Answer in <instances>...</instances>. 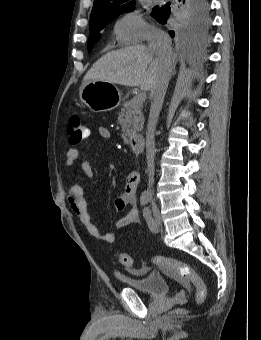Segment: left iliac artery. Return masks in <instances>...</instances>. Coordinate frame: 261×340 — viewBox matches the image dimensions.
Wrapping results in <instances>:
<instances>
[{"instance_id":"left-iliac-artery-1","label":"left iliac artery","mask_w":261,"mask_h":340,"mask_svg":"<svg viewBox=\"0 0 261 340\" xmlns=\"http://www.w3.org/2000/svg\"><path fill=\"white\" fill-rule=\"evenodd\" d=\"M143 216L146 219V222H147L150 230H154L155 229V222H154V219L152 218L151 210L148 207L143 209Z\"/></svg>"}]
</instances>
